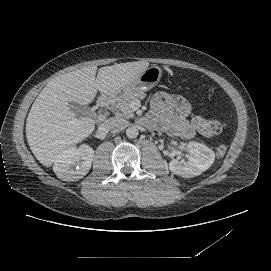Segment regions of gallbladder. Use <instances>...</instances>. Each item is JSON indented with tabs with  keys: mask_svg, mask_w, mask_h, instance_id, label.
I'll list each match as a JSON object with an SVG mask.
<instances>
[{
	"mask_svg": "<svg viewBox=\"0 0 271 271\" xmlns=\"http://www.w3.org/2000/svg\"><path fill=\"white\" fill-rule=\"evenodd\" d=\"M69 109L80 117H87L88 114L91 112L89 106L81 105L80 103L74 100L69 102Z\"/></svg>",
	"mask_w": 271,
	"mask_h": 271,
	"instance_id": "1",
	"label": "gallbladder"
}]
</instances>
